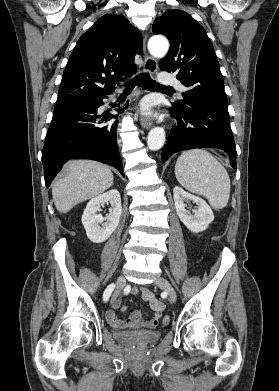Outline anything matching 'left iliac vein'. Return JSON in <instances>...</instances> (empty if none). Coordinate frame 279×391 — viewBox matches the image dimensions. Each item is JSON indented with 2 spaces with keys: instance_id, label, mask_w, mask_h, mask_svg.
Wrapping results in <instances>:
<instances>
[{
  "instance_id": "1",
  "label": "left iliac vein",
  "mask_w": 279,
  "mask_h": 391,
  "mask_svg": "<svg viewBox=\"0 0 279 391\" xmlns=\"http://www.w3.org/2000/svg\"><path fill=\"white\" fill-rule=\"evenodd\" d=\"M155 284L167 292L168 298L171 302L173 303L176 302L177 300L176 291L167 279L163 277H158L155 281Z\"/></svg>"
}]
</instances>
